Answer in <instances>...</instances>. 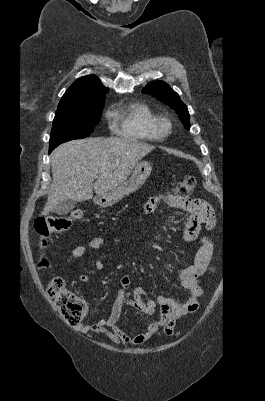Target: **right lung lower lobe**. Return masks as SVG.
<instances>
[{
    "label": "right lung lower lobe",
    "instance_id": "98d812e1",
    "mask_svg": "<svg viewBox=\"0 0 265 401\" xmlns=\"http://www.w3.org/2000/svg\"><path fill=\"white\" fill-rule=\"evenodd\" d=\"M52 150H53V149H50V148H49V153H50Z\"/></svg>",
    "mask_w": 265,
    "mask_h": 401
}]
</instances>
